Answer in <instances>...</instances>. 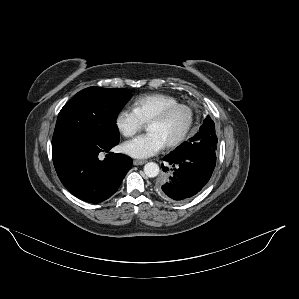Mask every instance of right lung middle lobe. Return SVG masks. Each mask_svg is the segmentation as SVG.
Listing matches in <instances>:
<instances>
[{"instance_id":"obj_1","label":"right lung middle lobe","mask_w":299,"mask_h":299,"mask_svg":"<svg viewBox=\"0 0 299 299\" xmlns=\"http://www.w3.org/2000/svg\"><path fill=\"white\" fill-rule=\"evenodd\" d=\"M130 97L131 92L121 88L81 90L59 112L52 146L75 139L119 142L115 121Z\"/></svg>"}]
</instances>
